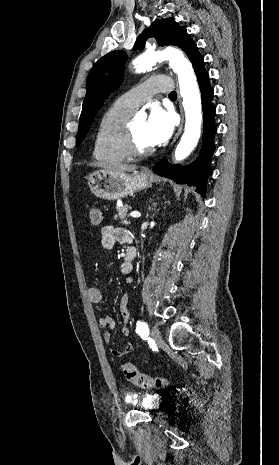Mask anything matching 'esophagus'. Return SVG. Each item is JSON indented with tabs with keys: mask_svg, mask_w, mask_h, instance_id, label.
<instances>
[{
	"mask_svg": "<svg viewBox=\"0 0 279 465\" xmlns=\"http://www.w3.org/2000/svg\"><path fill=\"white\" fill-rule=\"evenodd\" d=\"M181 113H182V121H181L180 127H179V129H178V132H177L176 135H175L174 141H175V140L178 138V136L180 135V133H181V131H182V127H183V121H184V119H183V111H182V108H181Z\"/></svg>",
	"mask_w": 279,
	"mask_h": 465,
	"instance_id": "1",
	"label": "esophagus"
}]
</instances>
